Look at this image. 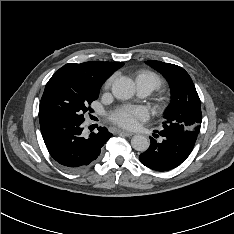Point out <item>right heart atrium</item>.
Returning a JSON list of instances; mask_svg holds the SVG:
<instances>
[{
    "mask_svg": "<svg viewBox=\"0 0 234 234\" xmlns=\"http://www.w3.org/2000/svg\"><path fill=\"white\" fill-rule=\"evenodd\" d=\"M112 81H113V77H110V78L105 82L104 87H105L106 89H108V88L111 86Z\"/></svg>",
    "mask_w": 234,
    "mask_h": 234,
    "instance_id": "1",
    "label": "right heart atrium"
}]
</instances>
